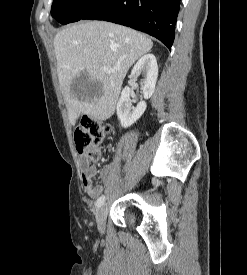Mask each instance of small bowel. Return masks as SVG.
<instances>
[{
    "label": "small bowel",
    "instance_id": "1",
    "mask_svg": "<svg viewBox=\"0 0 247 275\" xmlns=\"http://www.w3.org/2000/svg\"><path fill=\"white\" fill-rule=\"evenodd\" d=\"M100 152V151H99ZM81 181L84 190L90 198H97L103 191L102 185H94L93 179L97 175L98 170L94 164H90L87 155L82 154L80 157ZM115 171V164L111 163L102 168L100 177L104 182H110Z\"/></svg>",
    "mask_w": 247,
    "mask_h": 275
}]
</instances>
